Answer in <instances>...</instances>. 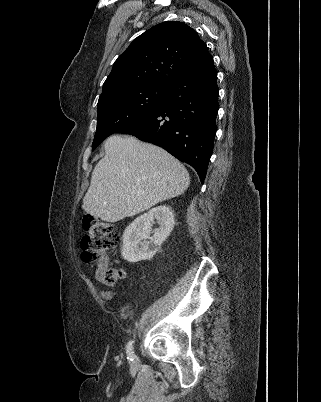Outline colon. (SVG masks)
<instances>
[{"label":"colon","instance_id":"obj_1","mask_svg":"<svg viewBox=\"0 0 321 402\" xmlns=\"http://www.w3.org/2000/svg\"><path fill=\"white\" fill-rule=\"evenodd\" d=\"M83 226L87 232L81 240L82 256L86 262H92L114 250L119 243V233L109 222L94 217H85ZM124 275L121 269L106 267L103 269V279L107 284H115Z\"/></svg>","mask_w":321,"mask_h":402}]
</instances>
